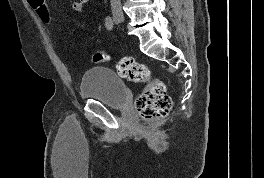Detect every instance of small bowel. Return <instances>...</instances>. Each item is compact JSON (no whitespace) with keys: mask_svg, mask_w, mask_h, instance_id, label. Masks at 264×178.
I'll use <instances>...</instances> for the list:
<instances>
[{"mask_svg":"<svg viewBox=\"0 0 264 178\" xmlns=\"http://www.w3.org/2000/svg\"><path fill=\"white\" fill-rule=\"evenodd\" d=\"M89 3V0H73L70 9L73 12L81 13L83 12L86 5Z\"/></svg>","mask_w":264,"mask_h":178,"instance_id":"small-bowel-1","label":"small bowel"}]
</instances>
